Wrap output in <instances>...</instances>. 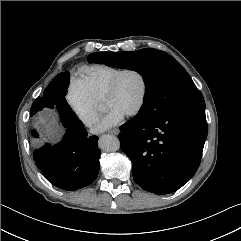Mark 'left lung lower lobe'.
I'll return each mask as SVG.
<instances>
[{"label": "left lung lower lobe", "instance_id": "0a47b994", "mask_svg": "<svg viewBox=\"0 0 241 241\" xmlns=\"http://www.w3.org/2000/svg\"><path fill=\"white\" fill-rule=\"evenodd\" d=\"M120 131L121 149L132 161L135 182L148 192L168 194L196 173L208 126L205 108H178L158 117L139 112Z\"/></svg>", "mask_w": 241, "mask_h": 241}]
</instances>
